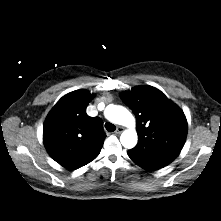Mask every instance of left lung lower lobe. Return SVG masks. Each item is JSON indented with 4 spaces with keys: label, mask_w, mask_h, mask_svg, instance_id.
<instances>
[{
    "label": "left lung lower lobe",
    "mask_w": 221,
    "mask_h": 221,
    "mask_svg": "<svg viewBox=\"0 0 221 221\" xmlns=\"http://www.w3.org/2000/svg\"><path fill=\"white\" fill-rule=\"evenodd\" d=\"M130 159L146 170H158L170 164L174 159L162 156L133 155L128 152Z\"/></svg>",
    "instance_id": "0a47b994"
}]
</instances>
